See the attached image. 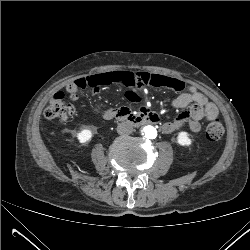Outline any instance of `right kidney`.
<instances>
[{"instance_id":"obj_1","label":"right kidney","mask_w":250,"mask_h":250,"mask_svg":"<svg viewBox=\"0 0 250 250\" xmlns=\"http://www.w3.org/2000/svg\"><path fill=\"white\" fill-rule=\"evenodd\" d=\"M75 137L80 143H85L91 139L92 131L89 129H83L80 132L75 133Z\"/></svg>"}]
</instances>
